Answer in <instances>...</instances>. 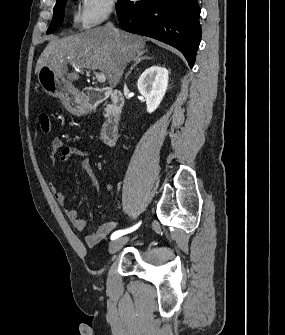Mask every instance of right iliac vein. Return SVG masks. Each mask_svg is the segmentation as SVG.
Listing matches in <instances>:
<instances>
[{"instance_id":"obj_1","label":"right iliac vein","mask_w":285,"mask_h":335,"mask_svg":"<svg viewBox=\"0 0 285 335\" xmlns=\"http://www.w3.org/2000/svg\"><path fill=\"white\" fill-rule=\"evenodd\" d=\"M128 241L127 237H121L110 244L109 253L115 254L121 250L122 246Z\"/></svg>"}]
</instances>
